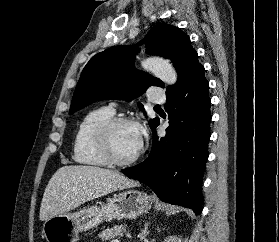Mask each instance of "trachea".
<instances>
[{"instance_id": "3493384b", "label": "trachea", "mask_w": 279, "mask_h": 242, "mask_svg": "<svg viewBox=\"0 0 279 242\" xmlns=\"http://www.w3.org/2000/svg\"><path fill=\"white\" fill-rule=\"evenodd\" d=\"M155 108H160V105H156Z\"/></svg>"}]
</instances>
